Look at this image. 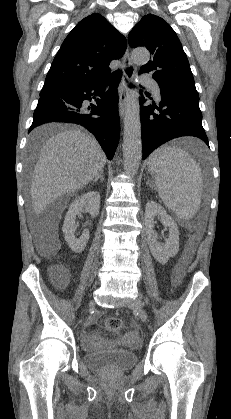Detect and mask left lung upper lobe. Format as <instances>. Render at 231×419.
Instances as JSON below:
<instances>
[{"mask_svg":"<svg viewBox=\"0 0 231 419\" xmlns=\"http://www.w3.org/2000/svg\"><path fill=\"white\" fill-rule=\"evenodd\" d=\"M131 47H146L151 60L140 68V73L152 72L160 89L198 95L187 56L175 31L162 18L143 16L128 36Z\"/></svg>","mask_w":231,"mask_h":419,"instance_id":"obj_1","label":"left lung upper lobe"}]
</instances>
